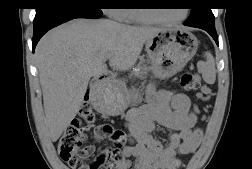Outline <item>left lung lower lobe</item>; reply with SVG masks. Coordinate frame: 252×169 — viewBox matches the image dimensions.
I'll use <instances>...</instances> for the list:
<instances>
[{
	"instance_id": "obj_1",
	"label": "left lung lower lobe",
	"mask_w": 252,
	"mask_h": 169,
	"mask_svg": "<svg viewBox=\"0 0 252 169\" xmlns=\"http://www.w3.org/2000/svg\"><path fill=\"white\" fill-rule=\"evenodd\" d=\"M201 29L207 31L213 37V39L215 40V42L218 45V36H217L215 28H213V29L212 28H201Z\"/></svg>"
}]
</instances>
